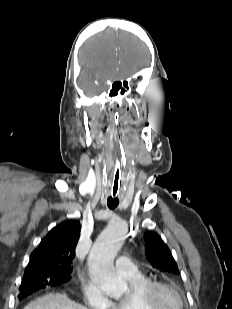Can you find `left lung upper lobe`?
<instances>
[{
    "label": "left lung upper lobe",
    "mask_w": 232,
    "mask_h": 309,
    "mask_svg": "<svg viewBox=\"0 0 232 309\" xmlns=\"http://www.w3.org/2000/svg\"><path fill=\"white\" fill-rule=\"evenodd\" d=\"M146 255L153 267L173 274H180L178 266L167 245L155 232H147L144 236Z\"/></svg>",
    "instance_id": "5c2ea615"
}]
</instances>
